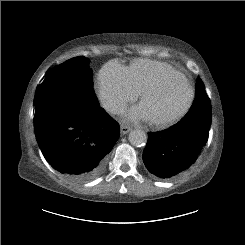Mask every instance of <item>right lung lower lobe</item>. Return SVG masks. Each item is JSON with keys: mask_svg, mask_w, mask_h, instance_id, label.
Listing matches in <instances>:
<instances>
[{"mask_svg": "<svg viewBox=\"0 0 245 245\" xmlns=\"http://www.w3.org/2000/svg\"><path fill=\"white\" fill-rule=\"evenodd\" d=\"M49 164L75 181H89L104 170L119 138V124L100 106L68 110L36 126Z\"/></svg>", "mask_w": 245, "mask_h": 245, "instance_id": "1", "label": "right lung lower lobe"}]
</instances>
